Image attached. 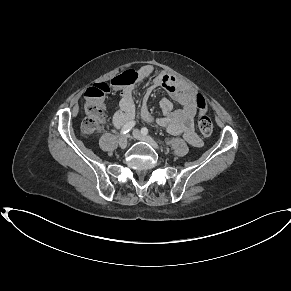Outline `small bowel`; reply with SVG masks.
I'll return each instance as SVG.
<instances>
[{
	"label": "small bowel",
	"instance_id": "c3829d8e",
	"mask_svg": "<svg viewBox=\"0 0 291 291\" xmlns=\"http://www.w3.org/2000/svg\"><path fill=\"white\" fill-rule=\"evenodd\" d=\"M154 71L155 68L152 65H145L139 69L138 79L143 80L151 76ZM157 88H163L167 91L169 96L181 105V108L174 109L170 99L162 98L160 100L162 116L152 117L145 107L137 112L134 104L135 86H125L121 91L120 110L112 115V125L115 128H120L137 117L142 122L165 127L170 134H182L192 146H201V139L195 132L193 124L196 106L194 102L195 90L192 86L170 74L160 72L154 78L150 90Z\"/></svg>",
	"mask_w": 291,
	"mask_h": 291
}]
</instances>
